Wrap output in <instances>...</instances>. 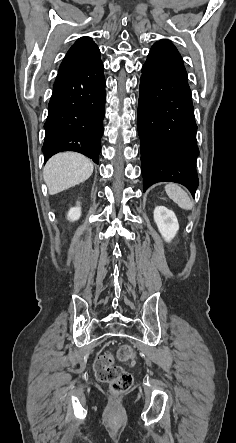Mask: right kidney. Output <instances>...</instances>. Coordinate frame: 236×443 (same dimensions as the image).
Returning <instances> with one entry per match:
<instances>
[{"mask_svg":"<svg viewBox=\"0 0 236 443\" xmlns=\"http://www.w3.org/2000/svg\"><path fill=\"white\" fill-rule=\"evenodd\" d=\"M81 216V208L80 206L71 208L68 212V219L70 221H76L80 218Z\"/></svg>","mask_w":236,"mask_h":443,"instance_id":"ca27d5eb","label":"right kidney"}]
</instances>
